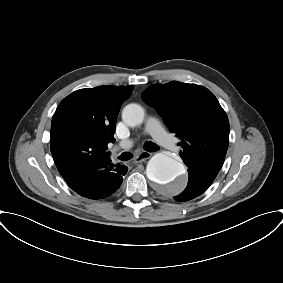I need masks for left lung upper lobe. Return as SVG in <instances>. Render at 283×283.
<instances>
[{"label": "left lung upper lobe", "instance_id": "left-lung-upper-lobe-1", "mask_svg": "<svg viewBox=\"0 0 283 283\" xmlns=\"http://www.w3.org/2000/svg\"><path fill=\"white\" fill-rule=\"evenodd\" d=\"M169 129L181 138L180 157L188 169L217 176L229 145V122L205 87L171 81L153 84L143 94Z\"/></svg>", "mask_w": 283, "mask_h": 283}]
</instances>
